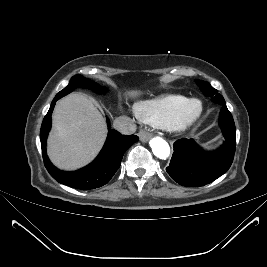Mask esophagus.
<instances>
[{"mask_svg":"<svg viewBox=\"0 0 267 267\" xmlns=\"http://www.w3.org/2000/svg\"><path fill=\"white\" fill-rule=\"evenodd\" d=\"M138 136L140 138V140L142 142H146L148 141V139L150 138V134L148 132H145L143 130H141L139 133H138Z\"/></svg>","mask_w":267,"mask_h":267,"instance_id":"esophagus-1","label":"esophagus"}]
</instances>
